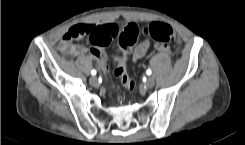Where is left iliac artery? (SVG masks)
<instances>
[{
  "instance_id": "left-iliac-artery-1",
  "label": "left iliac artery",
  "mask_w": 245,
  "mask_h": 145,
  "mask_svg": "<svg viewBox=\"0 0 245 145\" xmlns=\"http://www.w3.org/2000/svg\"><path fill=\"white\" fill-rule=\"evenodd\" d=\"M146 73H147L148 75H151L152 71H151L150 69H148V70L146 71Z\"/></svg>"
}]
</instances>
